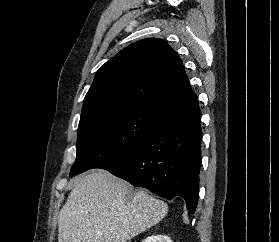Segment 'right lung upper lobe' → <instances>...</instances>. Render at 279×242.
Returning <instances> with one entry per match:
<instances>
[{
    "label": "right lung upper lobe",
    "mask_w": 279,
    "mask_h": 242,
    "mask_svg": "<svg viewBox=\"0 0 279 242\" xmlns=\"http://www.w3.org/2000/svg\"><path fill=\"white\" fill-rule=\"evenodd\" d=\"M195 99L177 53L166 42L148 38L127 46L98 70L81 117L111 110L159 114Z\"/></svg>",
    "instance_id": "cb5924a9"
}]
</instances>
